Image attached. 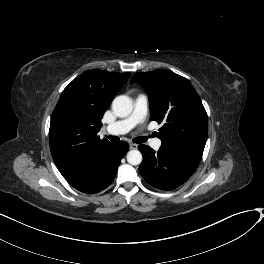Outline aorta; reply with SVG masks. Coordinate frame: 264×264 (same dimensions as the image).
<instances>
[{"instance_id":"762f6f07","label":"aorta","mask_w":264,"mask_h":264,"mask_svg":"<svg viewBox=\"0 0 264 264\" xmlns=\"http://www.w3.org/2000/svg\"><path fill=\"white\" fill-rule=\"evenodd\" d=\"M113 112L121 118L127 117L133 110L132 100L125 95L116 97L112 102ZM127 162L131 165H139L142 162V154L138 150H131L127 153Z\"/></svg>"}]
</instances>
